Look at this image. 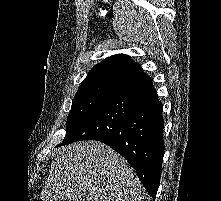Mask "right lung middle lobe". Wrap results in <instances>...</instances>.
I'll list each match as a JSON object with an SVG mask.
<instances>
[{
	"mask_svg": "<svg viewBox=\"0 0 221 201\" xmlns=\"http://www.w3.org/2000/svg\"><path fill=\"white\" fill-rule=\"evenodd\" d=\"M118 90L111 87L78 89L66 122V136L63 142L68 140Z\"/></svg>",
	"mask_w": 221,
	"mask_h": 201,
	"instance_id": "1",
	"label": "right lung middle lobe"
}]
</instances>
